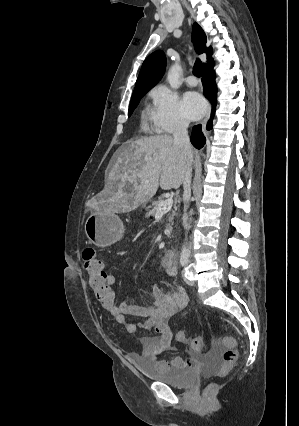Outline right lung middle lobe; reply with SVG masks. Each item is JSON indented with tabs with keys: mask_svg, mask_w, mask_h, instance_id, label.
<instances>
[{
	"mask_svg": "<svg viewBox=\"0 0 299 426\" xmlns=\"http://www.w3.org/2000/svg\"><path fill=\"white\" fill-rule=\"evenodd\" d=\"M146 93H147V91H139V92L133 93V95L131 97L128 116H130L132 114V112L134 111L136 106L139 104L141 97H143Z\"/></svg>",
	"mask_w": 299,
	"mask_h": 426,
	"instance_id": "right-lung-middle-lobe-1",
	"label": "right lung middle lobe"
}]
</instances>
